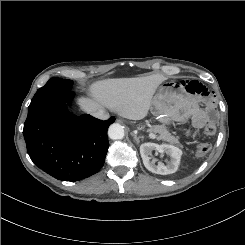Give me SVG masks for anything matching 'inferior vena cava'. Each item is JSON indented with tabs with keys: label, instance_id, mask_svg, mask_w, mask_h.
<instances>
[{
	"label": "inferior vena cava",
	"instance_id": "inferior-vena-cava-1",
	"mask_svg": "<svg viewBox=\"0 0 245 245\" xmlns=\"http://www.w3.org/2000/svg\"><path fill=\"white\" fill-rule=\"evenodd\" d=\"M94 117L101 119V120H106L109 118V113H107L104 109L100 108L94 112L91 113Z\"/></svg>",
	"mask_w": 245,
	"mask_h": 245
}]
</instances>
